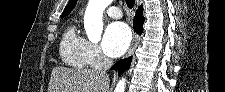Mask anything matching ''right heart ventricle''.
<instances>
[{
    "label": "right heart ventricle",
    "mask_w": 225,
    "mask_h": 92,
    "mask_svg": "<svg viewBox=\"0 0 225 92\" xmlns=\"http://www.w3.org/2000/svg\"><path fill=\"white\" fill-rule=\"evenodd\" d=\"M88 41L80 36L75 25H70L63 34L60 43V56L62 60L76 68L86 65Z\"/></svg>",
    "instance_id": "right-heart-ventricle-1"
}]
</instances>
